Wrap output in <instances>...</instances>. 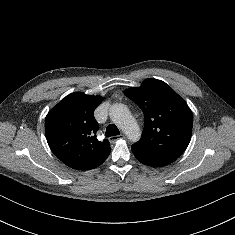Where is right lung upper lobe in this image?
<instances>
[{
    "label": "right lung upper lobe",
    "instance_id": "cb5924a9",
    "mask_svg": "<svg viewBox=\"0 0 235 235\" xmlns=\"http://www.w3.org/2000/svg\"><path fill=\"white\" fill-rule=\"evenodd\" d=\"M103 97L75 92L53 107L45 119V133L52 152L67 166L77 170L94 169L110 153L108 140L96 137L95 108Z\"/></svg>",
    "mask_w": 235,
    "mask_h": 235
}]
</instances>
